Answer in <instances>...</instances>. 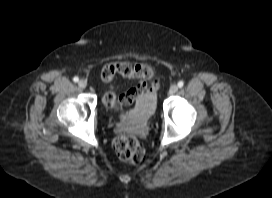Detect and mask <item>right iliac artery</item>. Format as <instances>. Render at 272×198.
<instances>
[{
  "label": "right iliac artery",
  "mask_w": 272,
  "mask_h": 198,
  "mask_svg": "<svg viewBox=\"0 0 272 198\" xmlns=\"http://www.w3.org/2000/svg\"><path fill=\"white\" fill-rule=\"evenodd\" d=\"M73 81H74V82H78V81H79V78H78L77 76H75V77L73 78Z\"/></svg>",
  "instance_id": "right-iliac-artery-1"
}]
</instances>
